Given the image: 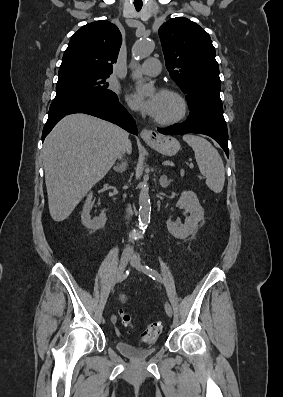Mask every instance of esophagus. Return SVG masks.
Masks as SVG:
<instances>
[{"label":"esophagus","mask_w":283,"mask_h":397,"mask_svg":"<svg viewBox=\"0 0 283 397\" xmlns=\"http://www.w3.org/2000/svg\"><path fill=\"white\" fill-rule=\"evenodd\" d=\"M140 136L146 142H155L158 139V134L154 130L143 129Z\"/></svg>","instance_id":"1"}]
</instances>
